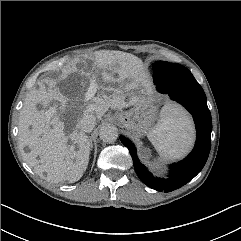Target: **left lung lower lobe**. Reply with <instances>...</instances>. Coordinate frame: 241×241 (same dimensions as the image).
<instances>
[{
    "mask_svg": "<svg viewBox=\"0 0 241 241\" xmlns=\"http://www.w3.org/2000/svg\"><path fill=\"white\" fill-rule=\"evenodd\" d=\"M153 78L160 93L168 94L192 114L197 131L193 151L184 160L171 166L168 178H155L139 161L134 144L123 136H120V140L128 148L140 180L157 191L171 192L192 180L204 167L211 147L212 119L206 95L198 82L171 89L159 73L154 71Z\"/></svg>",
    "mask_w": 241,
    "mask_h": 241,
    "instance_id": "left-lung-lower-lobe-1",
    "label": "left lung lower lobe"
}]
</instances>
